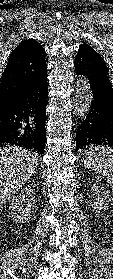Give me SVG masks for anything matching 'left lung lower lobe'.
I'll return each mask as SVG.
<instances>
[{
    "instance_id": "0a47b994",
    "label": "left lung lower lobe",
    "mask_w": 113,
    "mask_h": 279,
    "mask_svg": "<svg viewBox=\"0 0 113 279\" xmlns=\"http://www.w3.org/2000/svg\"><path fill=\"white\" fill-rule=\"evenodd\" d=\"M76 75H84L93 93L90 111L78 127L76 151L88 145L113 147V87L105 62L83 51L74 61Z\"/></svg>"
}]
</instances>
